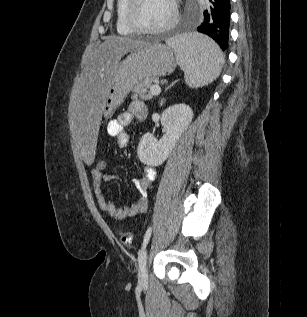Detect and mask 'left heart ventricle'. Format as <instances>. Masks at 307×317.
I'll return each mask as SVG.
<instances>
[{"instance_id":"b2bd125f","label":"left heart ventricle","mask_w":307,"mask_h":317,"mask_svg":"<svg viewBox=\"0 0 307 317\" xmlns=\"http://www.w3.org/2000/svg\"><path fill=\"white\" fill-rule=\"evenodd\" d=\"M172 16L170 0H141L136 12L139 24L147 28H158Z\"/></svg>"}]
</instances>
